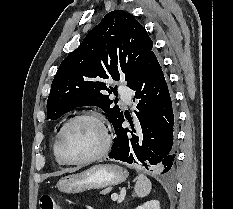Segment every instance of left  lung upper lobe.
Returning a JSON list of instances; mask_svg holds the SVG:
<instances>
[{
  "mask_svg": "<svg viewBox=\"0 0 233 209\" xmlns=\"http://www.w3.org/2000/svg\"><path fill=\"white\" fill-rule=\"evenodd\" d=\"M152 47L134 16L122 10L109 12L60 64L47 101L48 119L56 120L75 107L97 106L112 124L116 122L123 112L112 106L106 92L114 89L104 80L125 78L128 85L153 53Z\"/></svg>",
  "mask_w": 233,
  "mask_h": 209,
  "instance_id": "left-lung-upper-lobe-1",
  "label": "left lung upper lobe"
}]
</instances>
